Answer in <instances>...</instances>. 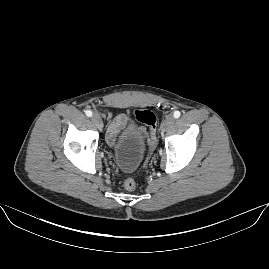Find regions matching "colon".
<instances>
[{"label": "colon", "instance_id": "5ec220e1", "mask_svg": "<svg viewBox=\"0 0 269 269\" xmlns=\"http://www.w3.org/2000/svg\"><path fill=\"white\" fill-rule=\"evenodd\" d=\"M133 117L135 121L146 126L147 134L145 136V141L147 144L154 148L157 142V117L149 109L146 108H136L133 111ZM124 188L127 191H134L136 189L137 183L133 178H127L123 183Z\"/></svg>", "mask_w": 269, "mask_h": 269}]
</instances>
